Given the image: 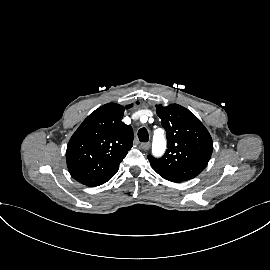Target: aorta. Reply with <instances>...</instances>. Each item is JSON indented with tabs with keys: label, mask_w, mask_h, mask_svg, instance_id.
Segmentation results:
<instances>
[{
	"label": "aorta",
	"mask_w": 270,
	"mask_h": 270,
	"mask_svg": "<svg viewBox=\"0 0 270 270\" xmlns=\"http://www.w3.org/2000/svg\"><path fill=\"white\" fill-rule=\"evenodd\" d=\"M166 148V140L164 136L161 134H158L157 132L154 135L153 139V154L155 156H161Z\"/></svg>",
	"instance_id": "762f6f07"
}]
</instances>
